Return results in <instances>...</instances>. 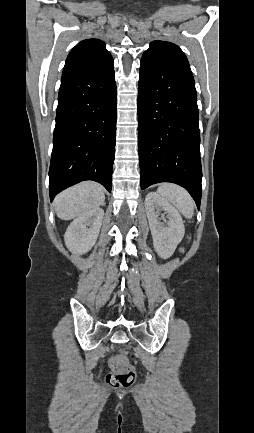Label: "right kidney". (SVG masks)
<instances>
[{"label": "right kidney", "instance_id": "1", "mask_svg": "<svg viewBox=\"0 0 254 433\" xmlns=\"http://www.w3.org/2000/svg\"><path fill=\"white\" fill-rule=\"evenodd\" d=\"M103 216V209L96 208L73 220L64 236L65 244L72 253L84 254L94 246Z\"/></svg>", "mask_w": 254, "mask_h": 433}]
</instances>
